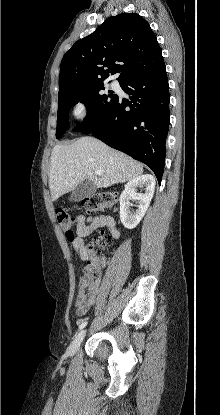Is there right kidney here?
<instances>
[{"label":"right kidney","instance_id":"1","mask_svg":"<svg viewBox=\"0 0 220 415\" xmlns=\"http://www.w3.org/2000/svg\"><path fill=\"white\" fill-rule=\"evenodd\" d=\"M155 179L152 175L145 174L130 180L120 196V220L125 228L133 229L144 217L155 190ZM145 187V193H136L137 187ZM137 200V210L130 212V200Z\"/></svg>","mask_w":220,"mask_h":415}]
</instances>
